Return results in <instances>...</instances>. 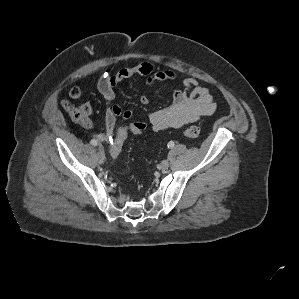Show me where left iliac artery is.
Masks as SVG:
<instances>
[{
  "mask_svg": "<svg viewBox=\"0 0 299 299\" xmlns=\"http://www.w3.org/2000/svg\"><path fill=\"white\" fill-rule=\"evenodd\" d=\"M168 147H169V148H173V147H174V142H173V141H170V142L168 143Z\"/></svg>",
  "mask_w": 299,
  "mask_h": 299,
  "instance_id": "1",
  "label": "left iliac artery"
}]
</instances>
